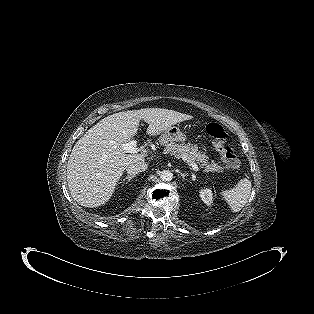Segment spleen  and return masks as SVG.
I'll return each instance as SVG.
<instances>
[{
  "label": "spleen",
  "instance_id": "1",
  "mask_svg": "<svg viewBox=\"0 0 314 314\" xmlns=\"http://www.w3.org/2000/svg\"><path fill=\"white\" fill-rule=\"evenodd\" d=\"M251 187V181L243 178L232 189L221 192L232 212H239L245 206L251 194Z\"/></svg>",
  "mask_w": 314,
  "mask_h": 314
}]
</instances>
